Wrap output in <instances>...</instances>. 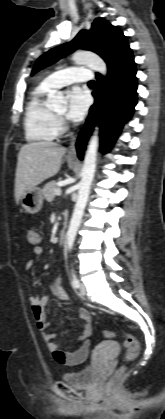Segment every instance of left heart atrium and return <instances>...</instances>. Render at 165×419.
Segmentation results:
<instances>
[{
  "label": "left heart atrium",
  "instance_id": "39dd6f15",
  "mask_svg": "<svg viewBox=\"0 0 165 419\" xmlns=\"http://www.w3.org/2000/svg\"><path fill=\"white\" fill-rule=\"evenodd\" d=\"M89 105L87 92L79 87L73 88L68 94L67 118L79 120L84 117Z\"/></svg>",
  "mask_w": 165,
  "mask_h": 419
}]
</instances>
